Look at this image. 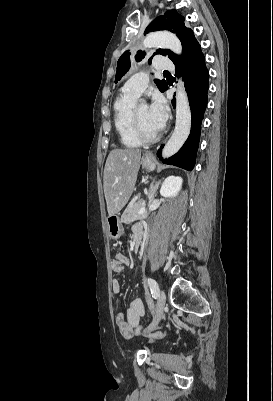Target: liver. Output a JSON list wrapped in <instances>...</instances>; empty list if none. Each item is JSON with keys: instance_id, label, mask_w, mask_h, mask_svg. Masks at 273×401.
Masks as SVG:
<instances>
[{"instance_id": "obj_1", "label": "liver", "mask_w": 273, "mask_h": 401, "mask_svg": "<svg viewBox=\"0 0 273 401\" xmlns=\"http://www.w3.org/2000/svg\"><path fill=\"white\" fill-rule=\"evenodd\" d=\"M140 158L138 148H114L109 152L103 176L109 217L118 215L128 203L140 168Z\"/></svg>"}]
</instances>
